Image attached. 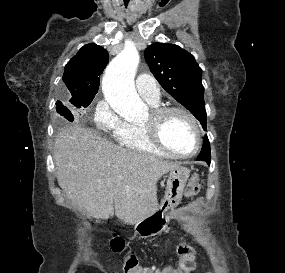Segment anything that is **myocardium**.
Here are the masks:
<instances>
[{"mask_svg": "<svg viewBox=\"0 0 285 273\" xmlns=\"http://www.w3.org/2000/svg\"><path fill=\"white\" fill-rule=\"evenodd\" d=\"M173 112H177L186 116L193 124L196 135V143L194 149L188 154H181L169 149L163 142L160 135V124L162 119ZM151 119L149 122H144L142 127L148 139L164 153L176 158H192L198 154L202 146V127L199 120L186 108L181 106H156L151 111Z\"/></svg>", "mask_w": 285, "mask_h": 273, "instance_id": "1", "label": "myocardium"}]
</instances>
